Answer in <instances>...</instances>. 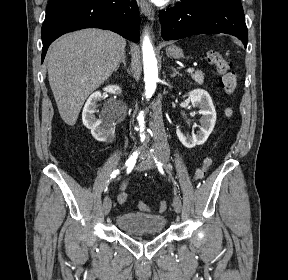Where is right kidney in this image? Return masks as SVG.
Instances as JSON below:
<instances>
[{"mask_svg": "<svg viewBox=\"0 0 288 280\" xmlns=\"http://www.w3.org/2000/svg\"><path fill=\"white\" fill-rule=\"evenodd\" d=\"M104 91L111 94H120L121 89L117 85H111L104 88ZM101 98V92L96 91L90 95L82 112L83 124L91 130L92 136L100 142L110 141L115 132L113 124L104 118L97 119L95 116L97 101Z\"/></svg>", "mask_w": 288, "mask_h": 280, "instance_id": "right-kidney-1", "label": "right kidney"}]
</instances>
